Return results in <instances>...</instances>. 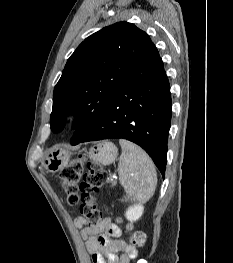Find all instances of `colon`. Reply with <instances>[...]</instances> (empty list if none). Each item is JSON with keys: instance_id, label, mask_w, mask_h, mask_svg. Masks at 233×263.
Segmentation results:
<instances>
[{"instance_id": "5ec220e1", "label": "colon", "mask_w": 233, "mask_h": 263, "mask_svg": "<svg viewBox=\"0 0 233 263\" xmlns=\"http://www.w3.org/2000/svg\"><path fill=\"white\" fill-rule=\"evenodd\" d=\"M60 177L62 188L67 195V202L70 205L81 202L80 213L87 224L93 226L101 222L102 214L95 203L94 194L106 182L104 169L96 163L86 165L85 158L80 155L62 170ZM82 179L83 182H81ZM80 191L81 194H79ZM127 233L133 247H144L146 236L143 232L133 231L132 227L128 226Z\"/></svg>"}]
</instances>
